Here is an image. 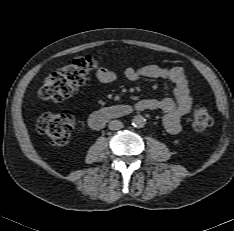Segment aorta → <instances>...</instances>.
<instances>
[{
  "label": "aorta",
  "instance_id": "1",
  "mask_svg": "<svg viewBox=\"0 0 234 231\" xmlns=\"http://www.w3.org/2000/svg\"><path fill=\"white\" fill-rule=\"evenodd\" d=\"M145 123H146V120L142 115H136L132 119V125L136 128L144 127Z\"/></svg>",
  "mask_w": 234,
  "mask_h": 231
}]
</instances>
